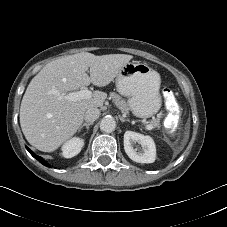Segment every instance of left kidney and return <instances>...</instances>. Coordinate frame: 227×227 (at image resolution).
<instances>
[{
  "mask_svg": "<svg viewBox=\"0 0 227 227\" xmlns=\"http://www.w3.org/2000/svg\"><path fill=\"white\" fill-rule=\"evenodd\" d=\"M138 143L142 152H137L133 144ZM124 149L129 158L138 163H153L156 159V147L150 136H144L133 131L124 134Z\"/></svg>",
  "mask_w": 227,
  "mask_h": 227,
  "instance_id": "1",
  "label": "left kidney"
}]
</instances>
